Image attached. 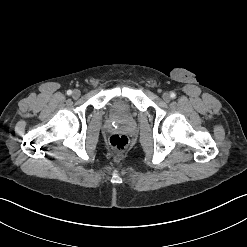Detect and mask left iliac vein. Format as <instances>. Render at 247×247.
I'll list each match as a JSON object with an SVG mask.
<instances>
[{
    "instance_id": "obj_1",
    "label": "left iliac vein",
    "mask_w": 247,
    "mask_h": 247,
    "mask_svg": "<svg viewBox=\"0 0 247 247\" xmlns=\"http://www.w3.org/2000/svg\"><path fill=\"white\" fill-rule=\"evenodd\" d=\"M162 98L164 101L169 102L170 101V94L165 92V93H163Z\"/></svg>"
}]
</instances>
